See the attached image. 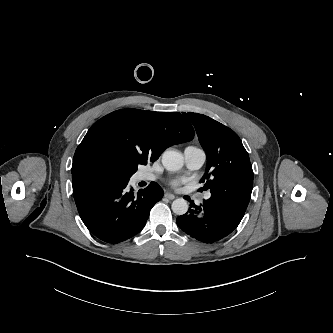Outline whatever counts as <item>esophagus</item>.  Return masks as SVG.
Instances as JSON below:
<instances>
[{"label":"esophagus","instance_id":"1","mask_svg":"<svg viewBox=\"0 0 333 333\" xmlns=\"http://www.w3.org/2000/svg\"><path fill=\"white\" fill-rule=\"evenodd\" d=\"M164 197L169 200H173L175 198V196L173 194L168 193V192L164 194Z\"/></svg>","mask_w":333,"mask_h":333}]
</instances>
